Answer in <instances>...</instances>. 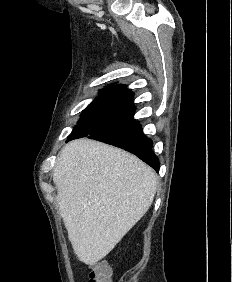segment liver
I'll return each instance as SVG.
<instances>
[{
  "mask_svg": "<svg viewBox=\"0 0 232 282\" xmlns=\"http://www.w3.org/2000/svg\"><path fill=\"white\" fill-rule=\"evenodd\" d=\"M56 201L74 253L93 265L151 206L154 170L134 155L89 139L67 143L53 173Z\"/></svg>",
  "mask_w": 232,
  "mask_h": 282,
  "instance_id": "1",
  "label": "liver"
}]
</instances>
